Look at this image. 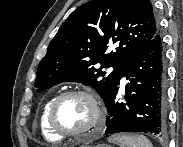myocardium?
<instances>
[{
	"mask_svg": "<svg viewBox=\"0 0 183 147\" xmlns=\"http://www.w3.org/2000/svg\"><path fill=\"white\" fill-rule=\"evenodd\" d=\"M71 96H81L86 98L92 107L93 111L92 121L87 127L81 130L76 131L65 130L61 128L56 121V111L58 106L61 104L63 100ZM103 118H104V112L97 96L93 92L84 89H73L58 95L51 103L47 115L48 125L51 128V130L55 132L57 135L62 137H77L86 134L94 130L102 122Z\"/></svg>",
	"mask_w": 183,
	"mask_h": 147,
	"instance_id": "myocardium-1",
	"label": "myocardium"
}]
</instances>
